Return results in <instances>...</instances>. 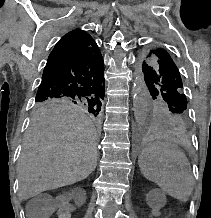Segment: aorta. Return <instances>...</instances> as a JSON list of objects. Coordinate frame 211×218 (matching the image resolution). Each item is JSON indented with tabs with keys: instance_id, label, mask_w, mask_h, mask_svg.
Segmentation results:
<instances>
[{
	"instance_id": "aorta-1",
	"label": "aorta",
	"mask_w": 211,
	"mask_h": 218,
	"mask_svg": "<svg viewBox=\"0 0 211 218\" xmlns=\"http://www.w3.org/2000/svg\"><path fill=\"white\" fill-rule=\"evenodd\" d=\"M147 106V90L143 82L138 79L133 85V111L137 124L145 119Z\"/></svg>"
}]
</instances>
